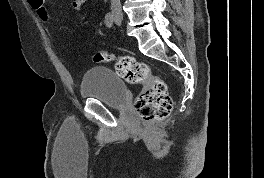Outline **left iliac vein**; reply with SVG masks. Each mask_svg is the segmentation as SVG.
<instances>
[{
  "label": "left iliac vein",
  "mask_w": 264,
  "mask_h": 178,
  "mask_svg": "<svg viewBox=\"0 0 264 178\" xmlns=\"http://www.w3.org/2000/svg\"><path fill=\"white\" fill-rule=\"evenodd\" d=\"M115 23H116L117 25H120V24H121V20H116V19H115Z\"/></svg>",
  "instance_id": "1"
}]
</instances>
